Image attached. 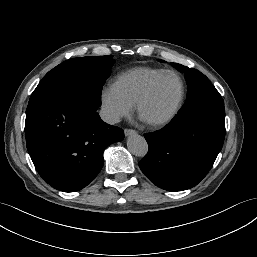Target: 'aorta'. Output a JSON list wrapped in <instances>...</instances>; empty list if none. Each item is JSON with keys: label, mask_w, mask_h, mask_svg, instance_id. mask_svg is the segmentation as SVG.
Wrapping results in <instances>:
<instances>
[{"label": "aorta", "mask_w": 257, "mask_h": 257, "mask_svg": "<svg viewBox=\"0 0 257 257\" xmlns=\"http://www.w3.org/2000/svg\"><path fill=\"white\" fill-rule=\"evenodd\" d=\"M127 146L130 152L138 157H143L148 152V144L145 138L135 133L129 136Z\"/></svg>", "instance_id": "obj_1"}]
</instances>
